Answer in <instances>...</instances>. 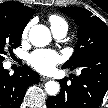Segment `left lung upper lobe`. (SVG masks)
I'll return each mask as SVG.
<instances>
[{"mask_svg":"<svg viewBox=\"0 0 108 108\" xmlns=\"http://www.w3.org/2000/svg\"><path fill=\"white\" fill-rule=\"evenodd\" d=\"M63 13L78 24V42L71 58L62 68L75 69L84 65H101L108 60V27L84 8L64 7Z\"/></svg>","mask_w":108,"mask_h":108,"instance_id":"left-lung-upper-lobe-1","label":"left lung upper lobe"}]
</instances>
